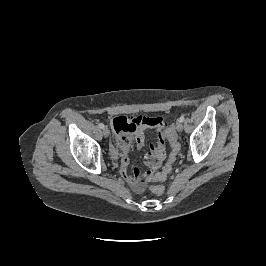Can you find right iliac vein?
<instances>
[{"label": "right iliac vein", "instance_id": "63e3f726", "mask_svg": "<svg viewBox=\"0 0 266 266\" xmlns=\"http://www.w3.org/2000/svg\"><path fill=\"white\" fill-rule=\"evenodd\" d=\"M102 133H103V135L105 136V137H108L109 136V134H110V131H109V129L108 128H103V131H102Z\"/></svg>", "mask_w": 266, "mask_h": 266}]
</instances>
